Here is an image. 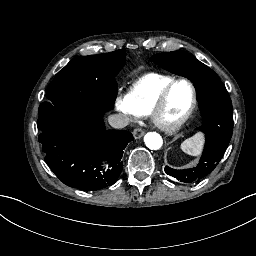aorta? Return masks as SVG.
Wrapping results in <instances>:
<instances>
[{
	"label": "aorta",
	"instance_id": "1",
	"mask_svg": "<svg viewBox=\"0 0 256 256\" xmlns=\"http://www.w3.org/2000/svg\"><path fill=\"white\" fill-rule=\"evenodd\" d=\"M145 145L150 150H159L163 146V138L156 132H150L144 137Z\"/></svg>",
	"mask_w": 256,
	"mask_h": 256
}]
</instances>
